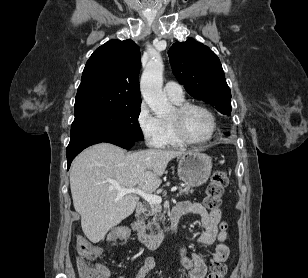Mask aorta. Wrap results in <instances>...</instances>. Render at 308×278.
Listing matches in <instances>:
<instances>
[{"instance_id": "aorta-1", "label": "aorta", "mask_w": 308, "mask_h": 278, "mask_svg": "<svg viewBox=\"0 0 308 278\" xmlns=\"http://www.w3.org/2000/svg\"><path fill=\"white\" fill-rule=\"evenodd\" d=\"M164 65L160 55L149 60L141 77V93L158 117L167 115L172 109L165 93L162 91Z\"/></svg>"}]
</instances>
